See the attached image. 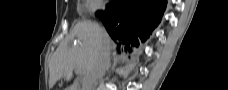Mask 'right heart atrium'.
Instances as JSON below:
<instances>
[{
    "label": "right heart atrium",
    "instance_id": "1",
    "mask_svg": "<svg viewBox=\"0 0 228 90\" xmlns=\"http://www.w3.org/2000/svg\"><path fill=\"white\" fill-rule=\"evenodd\" d=\"M85 4H86L89 12H94L103 6L104 1H102V0H87V1H85Z\"/></svg>",
    "mask_w": 228,
    "mask_h": 90
}]
</instances>
